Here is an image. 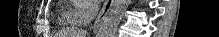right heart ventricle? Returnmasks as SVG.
<instances>
[{"label":"right heart ventricle","mask_w":219,"mask_h":37,"mask_svg":"<svg viewBox=\"0 0 219 37\" xmlns=\"http://www.w3.org/2000/svg\"><path fill=\"white\" fill-rule=\"evenodd\" d=\"M73 13H74L73 10L63 11L61 19H60V23L64 26H69V27H76V26L80 25V23H78L74 19Z\"/></svg>","instance_id":"1"}]
</instances>
